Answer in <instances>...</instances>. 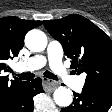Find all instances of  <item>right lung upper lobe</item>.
<instances>
[{
  "label": "right lung upper lobe",
  "mask_w": 112,
  "mask_h": 112,
  "mask_svg": "<svg viewBox=\"0 0 112 112\" xmlns=\"http://www.w3.org/2000/svg\"><path fill=\"white\" fill-rule=\"evenodd\" d=\"M41 21H29L16 17H4L0 19V111L7 105L15 89L23 81L19 79L9 81V67L6 60L18 55L24 45L26 33L41 25Z\"/></svg>",
  "instance_id": "obj_1"
}]
</instances>
